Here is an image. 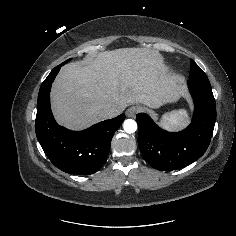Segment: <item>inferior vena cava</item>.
<instances>
[{
	"mask_svg": "<svg viewBox=\"0 0 236 236\" xmlns=\"http://www.w3.org/2000/svg\"><path fill=\"white\" fill-rule=\"evenodd\" d=\"M120 112H121L120 109L108 110L107 112L104 113V118L105 119L113 118V117L117 116Z\"/></svg>",
	"mask_w": 236,
	"mask_h": 236,
	"instance_id": "602c4592",
	"label": "inferior vena cava"
}]
</instances>
